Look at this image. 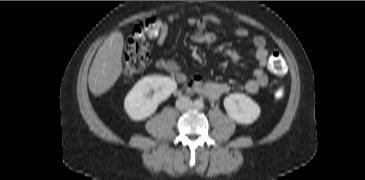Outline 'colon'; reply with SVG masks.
<instances>
[{
  "mask_svg": "<svg viewBox=\"0 0 365 180\" xmlns=\"http://www.w3.org/2000/svg\"><path fill=\"white\" fill-rule=\"evenodd\" d=\"M163 25V20L159 16H153L135 27L127 40L122 59V69L126 75L138 74L147 66L149 62L148 40L155 38ZM268 68L272 74L278 76L285 72V61L280 52L271 53Z\"/></svg>",
  "mask_w": 365,
  "mask_h": 180,
  "instance_id": "colon-1",
  "label": "colon"
}]
</instances>
